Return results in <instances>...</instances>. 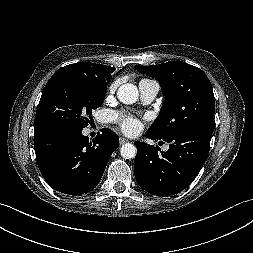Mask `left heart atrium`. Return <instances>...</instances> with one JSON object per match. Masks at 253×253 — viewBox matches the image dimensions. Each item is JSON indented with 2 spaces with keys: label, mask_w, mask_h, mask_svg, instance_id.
I'll return each instance as SVG.
<instances>
[{
  "label": "left heart atrium",
  "mask_w": 253,
  "mask_h": 253,
  "mask_svg": "<svg viewBox=\"0 0 253 253\" xmlns=\"http://www.w3.org/2000/svg\"><path fill=\"white\" fill-rule=\"evenodd\" d=\"M112 119L118 122L121 129L127 134H134L139 128V122L137 119L131 116H126L123 113H113Z\"/></svg>",
  "instance_id": "39dd6f15"
}]
</instances>
